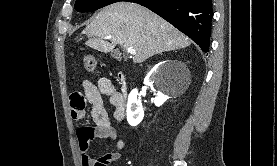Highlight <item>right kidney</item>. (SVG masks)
<instances>
[{
  "label": "right kidney",
  "instance_id": "obj_1",
  "mask_svg": "<svg viewBox=\"0 0 277 166\" xmlns=\"http://www.w3.org/2000/svg\"><path fill=\"white\" fill-rule=\"evenodd\" d=\"M167 63H171L175 68H184V65L181 62L177 61H168ZM165 62H161L158 65H156L145 77L144 84L148 86H152L153 82L155 81L157 86L161 85V79H162V71L164 69ZM171 83L168 82L165 84V87H170ZM161 87V86H160ZM163 87L157 93L155 94L154 103L156 106H161L167 99H169L168 95L163 93ZM138 91L137 89H134L131 91V93L128 96V103H127V121L131 126L138 125L143 117L144 112L142 108L141 101L137 98Z\"/></svg>",
  "mask_w": 277,
  "mask_h": 166
}]
</instances>
